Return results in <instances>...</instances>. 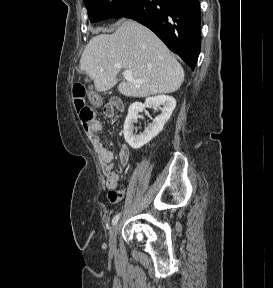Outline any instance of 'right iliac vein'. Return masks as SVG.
Segmentation results:
<instances>
[{"instance_id":"63e3f726","label":"right iliac vein","mask_w":273,"mask_h":288,"mask_svg":"<svg viewBox=\"0 0 273 288\" xmlns=\"http://www.w3.org/2000/svg\"><path fill=\"white\" fill-rule=\"evenodd\" d=\"M119 230V224H115V226L112 228L109 234V245L110 248L114 249L116 246V238H117V233Z\"/></svg>"}]
</instances>
